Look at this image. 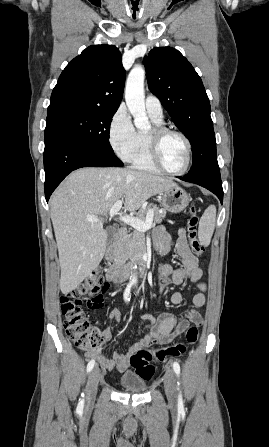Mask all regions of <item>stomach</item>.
<instances>
[{
	"label": "stomach",
	"mask_w": 269,
	"mask_h": 447,
	"mask_svg": "<svg viewBox=\"0 0 269 447\" xmlns=\"http://www.w3.org/2000/svg\"><path fill=\"white\" fill-rule=\"evenodd\" d=\"M161 196L162 208L168 210V212H172V214L183 212V210L187 208L189 202H191L188 194H186L182 188H178V186H172V188H168V190H163Z\"/></svg>",
	"instance_id": "0dacf381"
}]
</instances>
